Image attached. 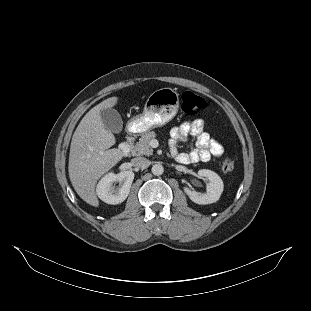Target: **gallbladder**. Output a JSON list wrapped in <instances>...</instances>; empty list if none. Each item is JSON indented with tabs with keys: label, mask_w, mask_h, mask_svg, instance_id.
<instances>
[{
	"label": "gallbladder",
	"mask_w": 311,
	"mask_h": 311,
	"mask_svg": "<svg viewBox=\"0 0 311 311\" xmlns=\"http://www.w3.org/2000/svg\"><path fill=\"white\" fill-rule=\"evenodd\" d=\"M100 117L108 130L114 133H119L122 130L123 122L117 110L113 108H103L100 111Z\"/></svg>",
	"instance_id": "bac80fb5"
}]
</instances>
